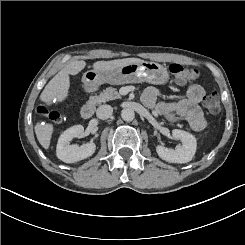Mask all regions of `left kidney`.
Wrapping results in <instances>:
<instances>
[{"label": "left kidney", "instance_id": "obj_1", "mask_svg": "<svg viewBox=\"0 0 245 245\" xmlns=\"http://www.w3.org/2000/svg\"><path fill=\"white\" fill-rule=\"evenodd\" d=\"M172 137L183 142V146H178L176 149H167L162 145H156V152L158 156L170 163H187L192 160L197 146L196 138L182 130H172Z\"/></svg>", "mask_w": 245, "mask_h": 245}]
</instances>
